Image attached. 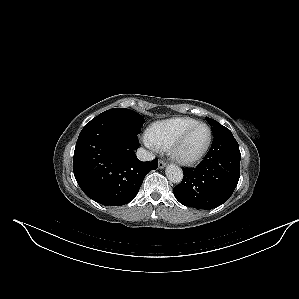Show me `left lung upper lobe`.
Wrapping results in <instances>:
<instances>
[{
  "label": "left lung upper lobe",
  "instance_id": "1",
  "mask_svg": "<svg viewBox=\"0 0 299 299\" xmlns=\"http://www.w3.org/2000/svg\"><path fill=\"white\" fill-rule=\"evenodd\" d=\"M206 121L209 123V125L211 126V129L213 131V134L219 132L220 130L225 129L226 127H224L223 125H221L219 122L211 119V118H206Z\"/></svg>",
  "mask_w": 299,
  "mask_h": 299
}]
</instances>
